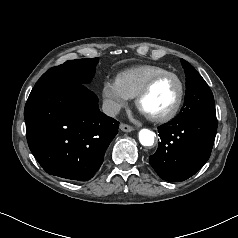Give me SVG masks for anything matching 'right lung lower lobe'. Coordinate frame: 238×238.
<instances>
[{"label":"right lung lower lobe","mask_w":238,"mask_h":238,"mask_svg":"<svg viewBox=\"0 0 238 238\" xmlns=\"http://www.w3.org/2000/svg\"><path fill=\"white\" fill-rule=\"evenodd\" d=\"M29 148L42 168L87 181L101 166L119 122L100 112L98 98L79 82L34 86L24 109Z\"/></svg>","instance_id":"right-lung-lower-lobe-1"}]
</instances>
